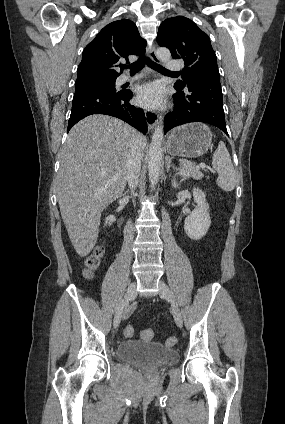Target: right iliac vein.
Listing matches in <instances>:
<instances>
[{"mask_svg":"<svg viewBox=\"0 0 285 424\" xmlns=\"http://www.w3.org/2000/svg\"><path fill=\"white\" fill-rule=\"evenodd\" d=\"M135 293H136V283L133 282L128 286L123 300L121 301V303L119 304L118 308L115 311L114 321H113V325L115 328L118 327L122 318L125 319L128 317L130 311L126 307L128 305V302L134 298Z\"/></svg>","mask_w":285,"mask_h":424,"instance_id":"1","label":"right iliac vein"}]
</instances>
